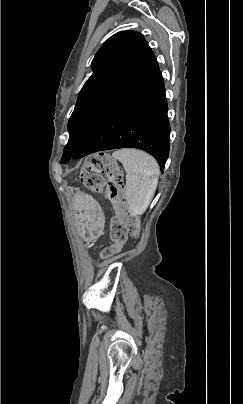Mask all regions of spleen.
Wrapping results in <instances>:
<instances>
[{
  "mask_svg": "<svg viewBox=\"0 0 243 404\" xmlns=\"http://www.w3.org/2000/svg\"><path fill=\"white\" fill-rule=\"evenodd\" d=\"M126 172V200L133 216L146 212L156 190L159 166L149 154L135 148H122L112 154Z\"/></svg>",
  "mask_w": 243,
  "mask_h": 404,
  "instance_id": "1",
  "label": "spleen"
}]
</instances>
